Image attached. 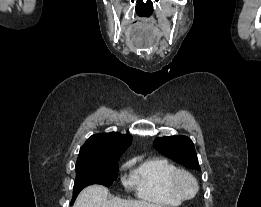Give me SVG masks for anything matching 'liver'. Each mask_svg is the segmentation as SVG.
<instances>
[{"mask_svg": "<svg viewBox=\"0 0 261 207\" xmlns=\"http://www.w3.org/2000/svg\"><path fill=\"white\" fill-rule=\"evenodd\" d=\"M107 197L108 189L106 187L91 185L81 191L74 207H163L146 201L121 198L108 200Z\"/></svg>", "mask_w": 261, "mask_h": 207, "instance_id": "6515ba94", "label": "liver"}]
</instances>
